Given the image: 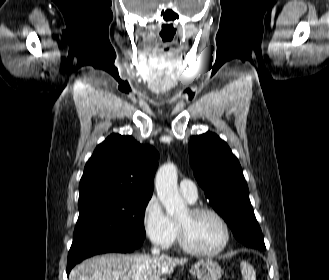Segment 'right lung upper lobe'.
<instances>
[{"instance_id": "right-lung-upper-lobe-1", "label": "right lung upper lobe", "mask_w": 329, "mask_h": 280, "mask_svg": "<svg viewBox=\"0 0 329 280\" xmlns=\"http://www.w3.org/2000/svg\"><path fill=\"white\" fill-rule=\"evenodd\" d=\"M158 153L131 136L110 135L86 163L79 202L94 198L152 196Z\"/></svg>"}]
</instances>
